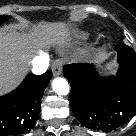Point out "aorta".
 Masks as SVG:
<instances>
[{"instance_id":"1","label":"aorta","mask_w":136,"mask_h":136,"mask_svg":"<svg viewBox=\"0 0 136 136\" xmlns=\"http://www.w3.org/2000/svg\"><path fill=\"white\" fill-rule=\"evenodd\" d=\"M52 88L58 95H67L69 93V84L66 79L58 77L52 82Z\"/></svg>"}]
</instances>
